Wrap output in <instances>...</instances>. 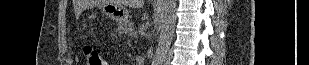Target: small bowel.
Here are the masks:
<instances>
[{
  "label": "small bowel",
  "mask_w": 309,
  "mask_h": 65,
  "mask_svg": "<svg viewBox=\"0 0 309 65\" xmlns=\"http://www.w3.org/2000/svg\"><path fill=\"white\" fill-rule=\"evenodd\" d=\"M103 65H110V64L107 61H103Z\"/></svg>",
  "instance_id": "c3829d8e"
}]
</instances>
